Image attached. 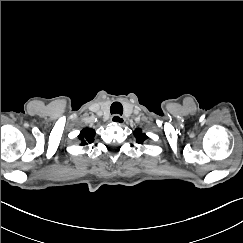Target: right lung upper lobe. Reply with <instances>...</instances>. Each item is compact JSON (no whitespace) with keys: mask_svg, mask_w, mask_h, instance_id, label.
Returning a JSON list of instances; mask_svg holds the SVG:
<instances>
[{"mask_svg":"<svg viewBox=\"0 0 243 243\" xmlns=\"http://www.w3.org/2000/svg\"><path fill=\"white\" fill-rule=\"evenodd\" d=\"M95 132L92 129L85 128L78 135L81 145H86L94 141Z\"/></svg>","mask_w":243,"mask_h":243,"instance_id":"1","label":"right lung upper lobe"}]
</instances>
